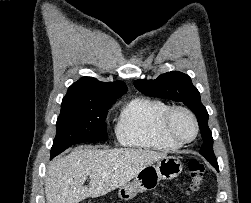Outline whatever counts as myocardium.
Returning <instances> with one entry per match:
<instances>
[{
    "mask_svg": "<svg viewBox=\"0 0 251 203\" xmlns=\"http://www.w3.org/2000/svg\"><path fill=\"white\" fill-rule=\"evenodd\" d=\"M176 112H183V113L187 114L191 118V120L193 121L195 131H194V134L191 138H189V139L181 138L173 131L172 120H173V116L175 115ZM161 131L167 138H169L172 141H175L181 145L188 144V143H191L192 141H194L196 139V137L198 136L199 122H198L196 115L190 109H188L184 106H179V105L172 106L165 112V114L162 117Z\"/></svg>",
    "mask_w": 251,
    "mask_h": 203,
    "instance_id": "f54148a6",
    "label": "myocardium"
}]
</instances>
